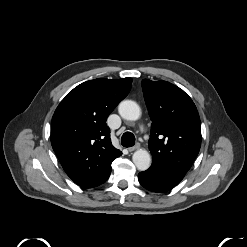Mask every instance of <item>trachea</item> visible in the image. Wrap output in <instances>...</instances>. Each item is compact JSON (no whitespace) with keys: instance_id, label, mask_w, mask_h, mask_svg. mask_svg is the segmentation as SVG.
Segmentation results:
<instances>
[{"instance_id":"trachea-1","label":"trachea","mask_w":247,"mask_h":247,"mask_svg":"<svg viewBox=\"0 0 247 247\" xmlns=\"http://www.w3.org/2000/svg\"><path fill=\"white\" fill-rule=\"evenodd\" d=\"M121 144L124 147L134 146L135 136L131 132H125L121 137Z\"/></svg>"}]
</instances>
